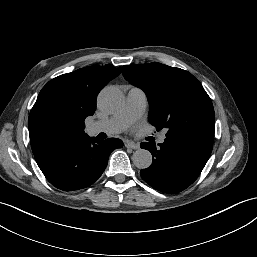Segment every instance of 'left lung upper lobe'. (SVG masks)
I'll list each match as a JSON object with an SVG mask.
<instances>
[{"label": "left lung upper lobe", "mask_w": 257, "mask_h": 257, "mask_svg": "<svg viewBox=\"0 0 257 257\" xmlns=\"http://www.w3.org/2000/svg\"><path fill=\"white\" fill-rule=\"evenodd\" d=\"M122 74L146 93L150 104L148 120L157 130L167 128L166 138L214 134L212 101L191 73L154 62L125 65Z\"/></svg>", "instance_id": "5c2ea615"}]
</instances>
